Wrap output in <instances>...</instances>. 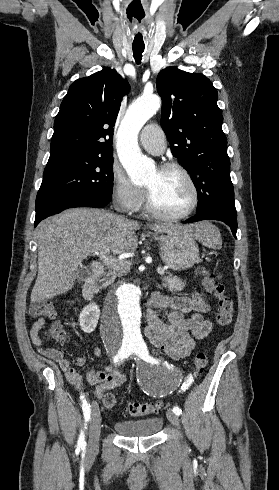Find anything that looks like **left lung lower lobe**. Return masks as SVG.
<instances>
[{
  "label": "left lung lower lobe",
  "mask_w": 279,
  "mask_h": 490,
  "mask_svg": "<svg viewBox=\"0 0 279 490\" xmlns=\"http://www.w3.org/2000/svg\"><path fill=\"white\" fill-rule=\"evenodd\" d=\"M219 220L223 221L226 223L230 228L233 233V236L236 238V231H237V214L233 215L221 210H216V209H211L207 210L201 213L196 214L195 216L189 218L186 221H183V223H192V222H197L201 220Z\"/></svg>",
  "instance_id": "1"
}]
</instances>
